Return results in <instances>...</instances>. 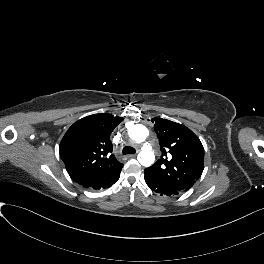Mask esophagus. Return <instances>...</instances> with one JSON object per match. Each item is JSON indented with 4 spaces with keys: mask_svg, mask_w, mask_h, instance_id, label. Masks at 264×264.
Segmentation results:
<instances>
[{
    "mask_svg": "<svg viewBox=\"0 0 264 264\" xmlns=\"http://www.w3.org/2000/svg\"><path fill=\"white\" fill-rule=\"evenodd\" d=\"M136 157V154H130V155H127V158H135Z\"/></svg>",
    "mask_w": 264,
    "mask_h": 264,
    "instance_id": "34e87169",
    "label": "esophagus"
}]
</instances>
